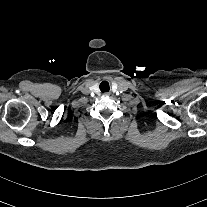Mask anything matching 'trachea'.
<instances>
[{
  "label": "trachea",
  "instance_id": "1",
  "mask_svg": "<svg viewBox=\"0 0 207 207\" xmlns=\"http://www.w3.org/2000/svg\"><path fill=\"white\" fill-rule=\"evenodd\" d=\"M110 87H109V83L107 81H103L100 83V90L101 92H107L109 91Z\"/></svg>",
  "mask_w": 207,
  "mask_h": 207
}]
</instances>
